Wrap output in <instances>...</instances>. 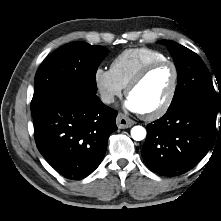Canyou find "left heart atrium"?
Instances as JSON below:
<instances>
[{"label": "left heart atrium", "instance_id": "obj_1", "mask_svg": "<svg viewBox=\"0 0 221 221\" xmlns=\"http://www.w3.org/2000/svg\"><path fill=\"white\" fill-rule=\"evenodd\" d=\"M126 107L133 111V112H141V110L139 109L138 105L136 104V102L134 100H132L130 97L128 98V100L125 103Z\"/></svg>", "mask_w": 221, "mask_h": 221}]
</instances>
